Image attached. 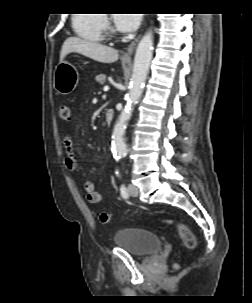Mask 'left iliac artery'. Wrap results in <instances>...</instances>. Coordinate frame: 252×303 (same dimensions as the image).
Listing matches in <instances>:
<instances>
[{
    "mask_svg": "<svg viewBox=\"0 0 252 303\" xmlns=\"http://www.w3.org/2000/svg\"><path fill=\"white\" fill-rule=\"evenodd\" d=\"M116 175H117V176H120L118 171H116ZM120 192H121V196H122L123 198H127V197H128V191H127V188L125 187V185H122V186H121Z\"/></svg>",
    "mask_w": 252,
    "mask_h": 303,
    "instance_id": "44dca946",
    "label": "left iliac artery"
}]
</instances>
